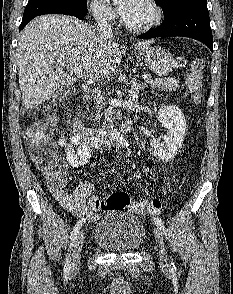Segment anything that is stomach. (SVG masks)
Here are the masks:
<instances>
[{"mask_svg":"<svg viewBox=\"0 0 233 294\" xmlns=\"http://www.w3.org/2000/svg\"><path fill=\"white\" fill-rule=\"evenodd\" d=\"M148 67L159 76H166L176 66L171 53L161 47H147L139 52Z\"/></svg>","mask_w":233,"mask_h":294,"instance_id":"1","label":"stomach"}]
</instances>
